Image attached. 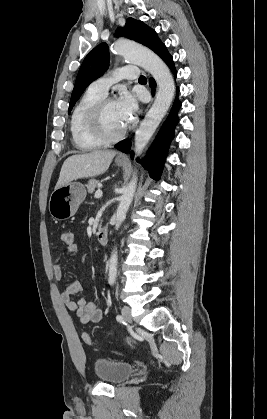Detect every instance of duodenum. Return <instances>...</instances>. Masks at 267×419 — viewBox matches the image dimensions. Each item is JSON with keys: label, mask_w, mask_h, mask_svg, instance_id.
Here are the masks:
<instances>
[{"label": "duodenum", "mask_w": 267, "mask_h": 419, "mask_svg": "<svg viewBox=\"0 0 267 419\" xmlns=\"http://www.w3.org/2000/svg\"><path fill=\"white\" fill-rule=\"evenodd\" d=\"M96 239L100 245H106L108 242V229L106 227L100 228L96 233Z\"/></svg>", "instance_id": "duodenum-1"}]
</instances>
